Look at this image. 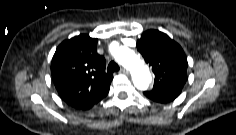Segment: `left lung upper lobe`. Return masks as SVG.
I'll list each match as a JSON object with an SVG mask.
<instances>
[{"label":"left lung upper lobe","mask_w":236,"mask_h":135,"mask_svg":"<svg viewBox=\"0 0 236 135\" xmlns=\"http://www.w3.org/2000/svg\"><path fill=\"white\" fill-rule=\"evenodd\" d=\"M137 49L155 74L152 91L182 88L187 80V58L178 43L158 30L144 32Z\"/></svg>","instance_id":"left-lung-upper-lobe-1"}]
</instances>
